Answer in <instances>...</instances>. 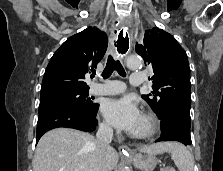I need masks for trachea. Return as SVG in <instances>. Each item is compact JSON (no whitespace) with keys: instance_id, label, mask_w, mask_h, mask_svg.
Instances as JSON below:
<instances>
[{"instance_id":"obj_1","label":"trachea","mask_w":223,"mask_h":171,"mask_svg":"<svg viewBox=\"0 0 223 171\" xmlns=\"http://www.w3.org/2000/svg\"><path fill=\"white\" fill-rule=\"evenodd\" d=\"M114 70L117 71L118 74L121 75L122 77L126 76L125 70L120 61L115 60L111 55H109L106 67L102 73L103 78L104 79L109 78Z\"/></svg>"}]
</instances>
